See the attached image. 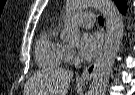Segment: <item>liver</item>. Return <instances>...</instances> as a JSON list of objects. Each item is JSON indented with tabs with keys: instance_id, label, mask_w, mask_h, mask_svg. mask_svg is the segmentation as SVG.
I'll list each match as a JSON object with an SVG mask.
<instances>
[{
	"instance_id": "6515ba94",
	"label": "liver",
	"mask_w": 135,
	"mask_h": 95,
	"mask_svg": "<svg viewBox=\"0 0 135 95\" xmlns=\"http://www.w3.org/2000/svg\"><path fill=\"white\" fill-rule=\"evenodd\" d=\"M73 72L61 68H49L32 76L26 82V95H66Z\"/></svg>"
}]
</instances>
